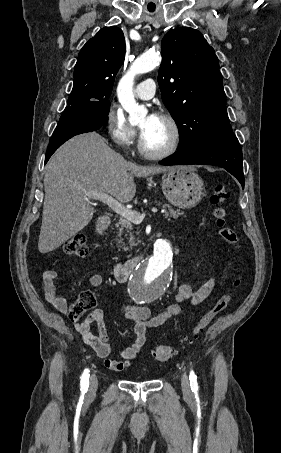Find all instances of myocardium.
Here are the masks:
<instances>
[{"label": "myocardium", "instance_id": "1", "mask_svg": "<svg viewBox=\"0 0 281 453\" xmlns=\"http://www.w3.org/2000/svg\"><path fill=\"white\" fill-rule=\"evenodd\" d=\"M158 118L165 123L171 131L172 141L170 145L163 151H151L146 147L142 133H140L138 140L139 153L145 158L153 160L164 159L173 155L176 152L181 140L180 129L172 118L167 115H160Z\"/></svg>", "mask_w": 281, "mask_h": 453}]
</instances>
